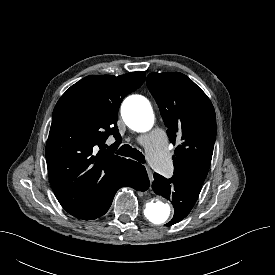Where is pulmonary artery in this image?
<instances>
[{
    "instance_id": "pulmonary-artery-1",
    "label": "pulmonary artery",
    "mask_w": 275,
    "mask_h": 275,
    "mask_svg": "<svg viewBox=\"0 0 275 275\" xmlns=\"http://www.w3.org/2000/svg\"><path fill=\"white\" fill-rule=\"evenodd\" d=\"M137 141L145 147L152 167L163 175H169L172 164L167 154L165 133L155 130L149 135L140 136Z\"/></svg>"
}]
</instances>
